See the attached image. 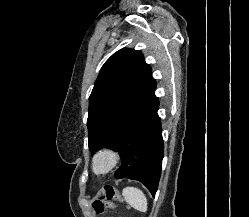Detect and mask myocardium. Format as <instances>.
I'll use <instances>...</instances> for the list:
<instances>
[{
  "label": "myocardium",
  "instance_id": "obj_1",
  "mask_svg": "<svg viewBox=\"0 0 249 217\" xmlns=\"http://www.w3.org/2000/svg\"><path fill=\"white\" fill-rule=\"evenodd\" d=\"M120 153L113 147L98 149L91 160V170L97 176L110 173L119 163Z\"/></svg>",
  "mask_w": 249,
  "mask_h": 217
}]
</instances>
